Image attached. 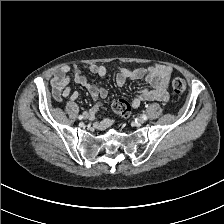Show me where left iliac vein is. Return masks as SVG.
<instances>
[{"label": "left iliac vein", "instance_id": "obj_1", "mask_svg": "<svg viewBox=\"0 0 224 224\" xmlns=\"http://www.w3.org/2000/svg\"><path fill=\"white\" fill-rule=\"evenodd\" d=\"M145 121H146V120H145L143 117H139V118H138V122H139L140 124H143Z\"/></svg>", "mask_w": 224, "mask_h": 224}]
</instances>
